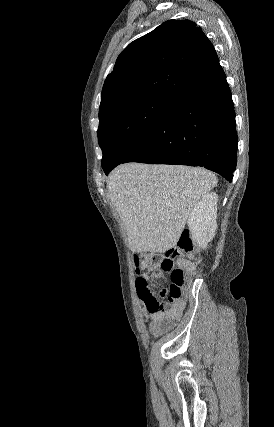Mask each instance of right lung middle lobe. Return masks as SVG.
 <instances>
[{
    "mask_svg": "<svg viewBox=\"0 0 274 427\" xmlns=\"http://www.w3.org/2000/svg\"><path fill=\"white\" fill-rule=\"evenodd\" d=\"M175 98L145 95L119 102L99 114L97 135L103 152L102 168L125 159L155 128Z\"/></svg>",
    "mask_w": 274,
    "mask_h": 427,
    "instance_id": "right-lung-middle-lobe-1",
    "label": "right lung middle lobe"
}]
</instances>
